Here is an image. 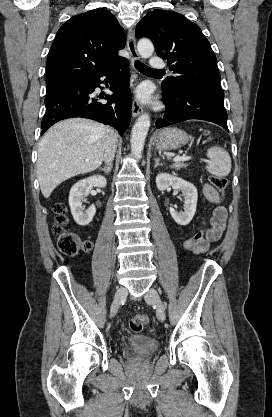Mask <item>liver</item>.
I'll return each instance as SVG.
<instances>
[{
    "mask_svg": "<svg viewBox=\"0 0 272 417\" xmlns=\"http://www.w3.org/2000/svg\"><path fill=\"white\" fill-rule=\"evenodd\" d=\"M109 128L89 119L72 118L51 127L38 146L37 177L48 198L65 180L96 170L104 160Z\"/></svg>",
    "mask_w": 272,
    "mask_h": 417,
    "instance_id": "1",
    "label": "liver"
}]
</instances>
